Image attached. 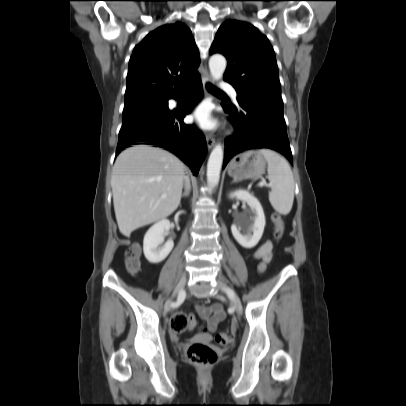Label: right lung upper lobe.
<instances>
[{
    "instance_id": "right-lung-upper-lobe-1",
    "label": "right lung upper lobe",
    "mask_w": 406,
    "mask_h": 406,
    "mask_svg": "<svg viewBox=\"0 0 406 406\" xmlns=\"http://www.w3.org/2000/svg\"><path fill=\"white\" fill-rule=\"evenodd\" d=\"M199 63L197 46L185 24H167L150 32L130 58L125 106L177 95L200 77Z\"/></svg>"
}]
</instances>
